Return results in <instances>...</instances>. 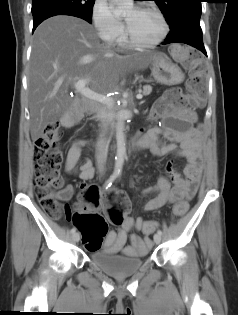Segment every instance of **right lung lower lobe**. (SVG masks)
<instances>
[{"label":"right lung lower lobe","mask_w":238,"mask_h":315,"mask_svg":"<svg viewBox=\"0 0 238 315\" xmlns=\"http://www.w3.org/2000/svg\"><path fill=\"white\" fill-rule=\"evenodd\" d=\"M55 15H70L82 18L86 20L87 22L91 23V18L73 10L65 9V8H45L38 10L33 13V31L36 29V27L45 19L55 16Z\"/></svg>","instance_id":"right-lung-lower-lobe-1"}]
</instances>
